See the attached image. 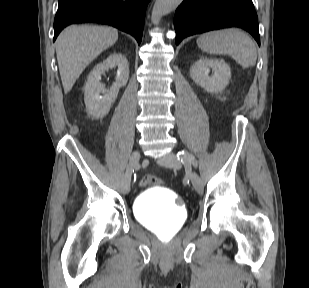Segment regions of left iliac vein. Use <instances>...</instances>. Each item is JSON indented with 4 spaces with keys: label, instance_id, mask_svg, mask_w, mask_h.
I'll return each instance as SVG.
<instances>
[{
    "label": "left iliac vein",
    "instance_id": "obj_1",
    "mask_svg": "<svg viewBox=\"0 0 309 288\" xmlns=\"http://www.w3.org/2000/svg\"><path fill=\"white\" fill-rule=\"evenodd\" d=\"M157 162L160 165H163L165 167H169L172 169H176V170L180 169L182 166L181 161L178 159V157L174 153H171V152L167 153L162 158H159ZM188 175H189V178L191 179V182H192V185L195 191L201 194L203 192V183H202L200 176L195 171H192V170L188 171Z\"/></svg>",
    "mask_w": 309,
    "mask_h": 288
}]
</instances>
